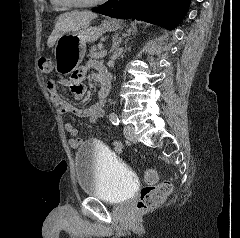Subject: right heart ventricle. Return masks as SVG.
<instances>
[{
	"label": "right heart ventricle",
	"instance_id": "e07e8e85",
	"mask_svg": "<svg viewBox=\"0 0 240 238\" xmlns=\"http://www.w3.org/2000/svg\"><path fill=\"white\" fill-rule=\"evenodd\" d=\"M51 2L57 6H68L65 0H51Z\"/></svg>",
	"mask_w": 240,
	"mask_h": 238
}]
</instances>
